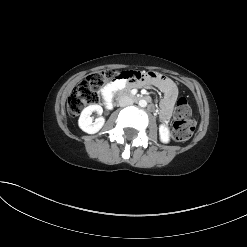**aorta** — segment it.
<instances>
[{"label": "aorta", "mask_w": 247, "mask_h": 247, "mask_svg": "<svg viewBox=\"0 0 247 247\" xmlns=\"http://www.w3.org/2000/svg\"><path fill=\"white\" fill-rule=\"evenodd\" d=\"M138 104H139L140 107H146L147 106V101L142 99V100L139 101Z\"/></svg>", "instance_id": "aorta-1"}]
</instances>
